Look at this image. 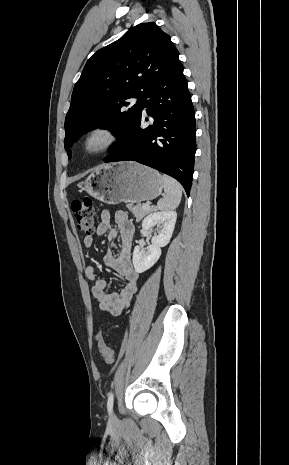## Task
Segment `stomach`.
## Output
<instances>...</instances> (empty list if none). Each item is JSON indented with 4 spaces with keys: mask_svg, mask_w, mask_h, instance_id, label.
Returning <instances> with one entry per match:
<instances>
[{
    "mask_svg": "<svg viewBox=\"0 0 289 465\" xmlns=\"http://www.w3.org/2000/svg\"><path fill=\"white\" fill-rule=\"evenodd\" d=\"M78 186L107 204L152 200L161 194L164 187L158 171L136 162L103 165Z\"/></svg>",
    "mask_w": 289,
    "mask_h": 465,
    "instance_id": "1",
    "label": "stomach"
}]
</instances>
